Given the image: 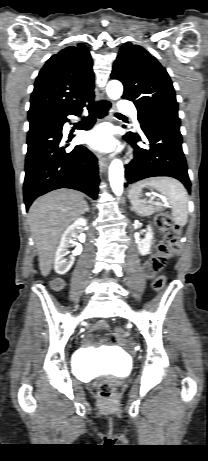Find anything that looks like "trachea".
Instances as JSON below:
<instances>
[{"label":"trachea","mask_w":208,"mask_h":461,"mask_svg":"<svg viewBox=\"0 0 208 461\" xmlns=\"http://www.w3.org/2000/svg\"><path fill=\"white\" fill-rule=\"evenodd\" d=\"M116 115H122V114H120V113H117Z\"/></svg>","instance_id":"1"}]
</instances>
